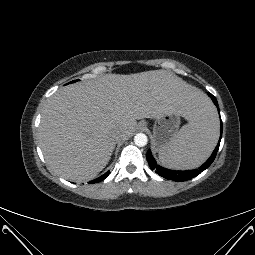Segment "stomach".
<instances>
[{
	"mask_svg": "<svg viewBox=\"0 0 255 255\" xmlns=\"http://www.w3.org/2000/svg\"><path fill=\"white\" fill-rule=\"evenodd\" d=\"M180 123L181 115L174 111L156 117L153 126V148L159 150L167 145L177 134Z\"/></svg>",
	"mask_w": 255,
	"mask_h": 255,
	"instance_id": "0dacf381",
	"label": "stomach"
}]
</instances>
